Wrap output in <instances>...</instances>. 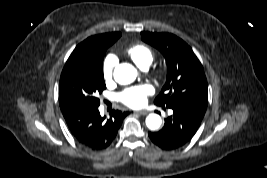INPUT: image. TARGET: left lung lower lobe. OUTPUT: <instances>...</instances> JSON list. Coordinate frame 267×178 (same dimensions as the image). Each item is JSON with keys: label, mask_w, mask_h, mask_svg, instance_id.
<instances>
[{"label": "left lung lower lobe", "mask_w": 267, "mask_h": 178, "mask_svg": "<svg viewBox=\"0 0 267 178\" xmlns=\"http://www.w3.org/2000/svg\"><path fill=\"white\" fill-rule=\"evenodd\" d=\"M173 115L158 132H149L152 142L161 149L173 150L188 143L197 132L202 119L180 107H170Z\"/></svg>", "instance_id": "obj_1"}]
</instances>
